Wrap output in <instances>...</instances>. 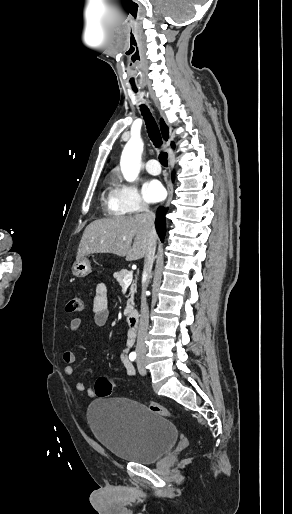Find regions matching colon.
Returning a JSON list of instances; mask_svg holds the SVG:
<instances>
[{
    "mask_svg": "<svg viewBox=\"0 0 292 514\" xmlns=\"http://www.w3.org/2000/svg\"><path fill=\"white\" fill-rule=\"evenodd\" d=\"M84 309L82 297L77 295L71 298L65 306L67 313L81 312ZM113 389V380L108 376H100L97 378L94 391L96 395L102 399H106L111 396ZM147 407L150 412L160 415L162 417H171L173 413L164 405L148 401Z\"/></svg>",
    "mask_w": 292,
    "mask_h": 514,
    "instance_id": "colon-1",
    "label": "colon"
}]
</instances>
